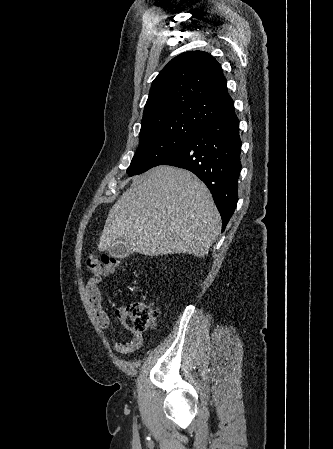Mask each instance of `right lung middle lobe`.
<instances>
[{
    "label": "right lung middle lobe",
    "instance_id": "dd1d6c3e",
    "mask_svg": "<svg viewBox=\"0 0 333 449\" xmlns=\"http://www.w3.org/2000/svg\"><path fill=\"white\" fill-rule=\"evenodd\" d=\"M201 128L191 123H171L140 133L139 147L127 172L133 176L156 166Z\"/></svg>",
    "mask_w": 333,
    "mask_h": 449
}]
</instances>
